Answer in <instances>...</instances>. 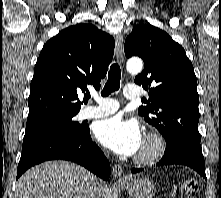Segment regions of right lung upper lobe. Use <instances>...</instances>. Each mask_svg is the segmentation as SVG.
Listing matches in <instances>:
<instances>
[{"instance_id":"1","label":"right lung upper lobe","mask_w":221,"mask_h":198,"mask_svg":"<svg viewBox=\"0 0 221 198\" xmlns=\"http://www.w3.org/2000/svg\"><path fill=\"white\" fill-rule=\"evenodd\" d=\"M114 46L113 37L92 24L68 27L46 42L30 85L27 122L79 112V97L87 91V85L100 88ZM83 101L87 102L85 98Z\"/></svg>"}]
</instances>
